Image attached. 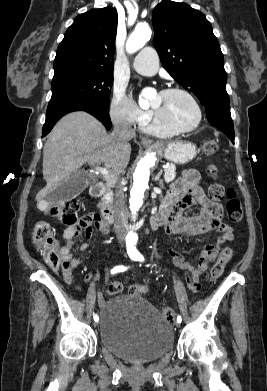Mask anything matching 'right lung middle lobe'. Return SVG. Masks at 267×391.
<instances>
[{"label":"right lung middle lobe","mask_w":267,"mask_h":391,"mask_svg":"<svg viewBox=\"0 0 267 391\" xmlns=\"http://www.w3.org/2000/svg\"><path fill=\"white\" fill-rule=\"evenodd\" d=\"M112 73L73 71L53 77L48 108L66 101H81L109 109Z\"/></svg>","instance_id":"obj_1"}]
</instances>
